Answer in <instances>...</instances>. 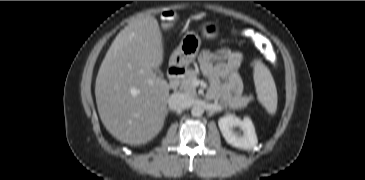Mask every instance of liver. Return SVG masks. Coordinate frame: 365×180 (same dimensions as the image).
<instances>
[{
  "mask_svg": "<svg viewBox=\"0 0 365 180\" xmlns=\"http://www.w3.org/2000/svg\"><path fill=\"white\" fill-rule=\"evenodd\" d=\"M163 56L162 33L152 16L132 20L106 53L96 78V103L106 130L122 143L146 144L164 126L169 86L154 71Z\"/></svg>",
  "mask_w": 365,
  "mask_h": 180,
  "instance_id": "6515ba94",
  "label": "liver"
}]
</instances>
